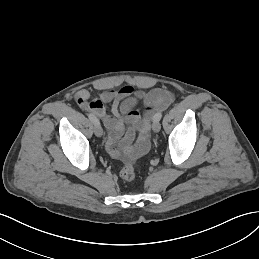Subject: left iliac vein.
Segmentation results:
<instances>
[{
  "mask_svg": "<svg viewBox=\"0 0 259 259\" xmlns=\"http://www.w3.org/2000/svg\"><path fill=\"white\" fill-rule=\"evenodd\" d=\"M152 129L154 132H159L161 129V124L159 123V121H154L153 125H152Z\"/></svg>",
  "mask_w": 259,
  "mask_h": 259,
  "instance_id": "1",
  "label": "left iliac vein"
}]
</instances>
